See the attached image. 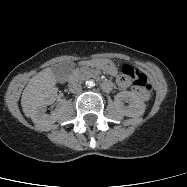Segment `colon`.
<instances>
[{
  "mask_svg": "<svg viewBox=\"0 0 187 187\" xmlns=\"http://www.w3.org/2000/svg\"><path fill=\"white\" fill-rule=\"evenodd\" d=\"M122 77L133 81L134 87L140 92L142 98H149L152 92V84L145 74L140 73L129 65H125L122 68Z\"/></svg>",
  "mask_w": 187,
  "mask_h": 187,
  "instance_id": "colon-1",
  "label": "colon"
}]
</instances>
